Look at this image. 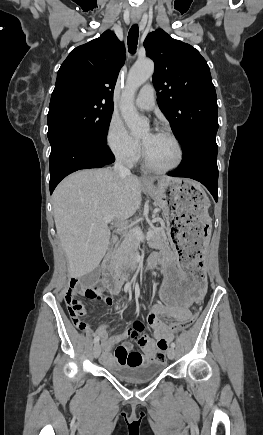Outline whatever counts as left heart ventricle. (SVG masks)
<instances>
[{
    "instance_id": "obj_1",
    "label": "left heart ventricle",
    "mask_w": 263,
    "mask_h": 435,
    "mask_svg": "<svg viewBox=\"0 0 263 435\" xmlns=\"http://www.w3.org/2000/svg\"><path fill=\"white\" fill-rule=\"evenodd\" d=\"M142 141L150 162L157 167H168L174 164L178 151L171 139L158 133L146 132Z\"/></svg>"
}]
</instances>
